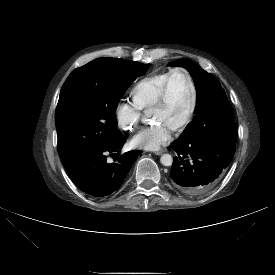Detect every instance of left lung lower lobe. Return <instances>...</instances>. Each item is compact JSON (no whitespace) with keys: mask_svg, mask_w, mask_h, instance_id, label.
I'll return each mask as SVG.
<instances>
[{"mask_svg":"<svg viewBox=\"0 0 275 275\" xmlns=\"http://www.w3.org/2000/svg\"><path fill=\"white\" fill-rule=\"evenodd\" d=\"M170 147L177 153L170 173L172 183L176 189L188 195L210 190L235 153V142L227 137L176 140Z\"/></svg>","mask_w":275,"mask_h":275,"instance_id":"obj_1","label":"left lung lower lobe"}]
</instances>
